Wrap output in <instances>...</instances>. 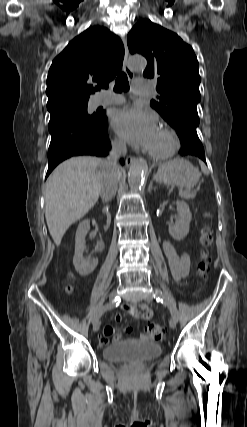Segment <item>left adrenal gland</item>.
Returning a JSON list of instances; mask_svg holds the SVG:
<instances>
[{"label":"left adrenal gland","instance_id":"left-adrenal-gland-1","mask_svg":"<svg viewBox=\"0 0 247 427\" xmlns=\"http://www.w3.org/2000/svg\"><path fill=\"white\" fill-rule=\"evenodd\" d=\"M155 190V187H153L152 182L150 183L149 187H148V192H151V190Z\"/></svg>","mask_w":247,"mask_h":427}]
</instances>
